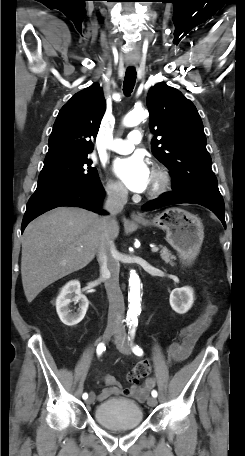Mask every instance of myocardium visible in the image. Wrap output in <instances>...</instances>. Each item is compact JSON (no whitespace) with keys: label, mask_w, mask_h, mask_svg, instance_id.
Segmentation results:
<instances>
[{"label":"myocardium","mask_w":245,"mask_h":456,"mask_svg":"<svg viewBox=\"0 0 245 456\" xmlns=\"http://www.w3.org/2000/svg\"><path fill=\"white\" fill-rule=\"evenodd\" d=\"M151 173L155 177L153 185L149 186L147 194L151 197L162 195L168 190L171 185V174L169 170L163 165H154Z\"/></svg>","instance_id":"myocardium-1"}]
</instances>
